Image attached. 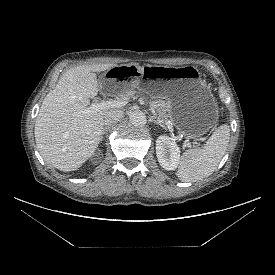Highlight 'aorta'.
Masks as SVG:
<instances>
[{
	"label": "aorta",
	"instance_id": "obj_1",
	"mask_svg": "<svg viewBox=\"0 0 275 275\" xmlns=\"http://www.w3.org/2000/svg\"><path fill=\"white\" fill-rule=\"evenodd\" d=\"M129 120L130 123L136 127H143L147 122L146 115L138 110L130 113Z\"/></svg>",
	"mask_w": 275,
	"mask_h": 275
}]
</instances>
